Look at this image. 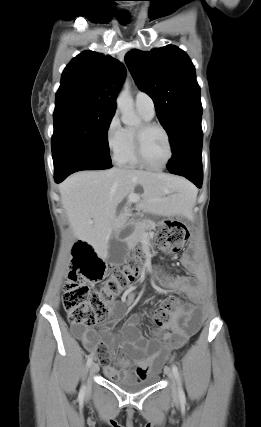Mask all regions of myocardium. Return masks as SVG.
Listing matches in <instances>:
<instances>
[{"instance_id": "1", "label": "myocardium", "mask_w": 261, "mask_h": 427, "mask_svg": "<svg viewBox=\"0 0 261 427\" xmlns=\"http://www.w3.org/2000/svg\"><path fill=\"white\" fill-rule=\"evenodd\" d=\"M154 129H158V130L163 132V134L166 137L168 147H169L168 158L166 159V161L163 164L157 165V166L150 164L146 160L145 155H144V150H143L144 135L147 132L154 130ZM134 149H135V155H136L138 162L143 167L151 169V170H162V169H164L170 163V161L172 160V158L174 156L173 144H172V140H171L169 132L161 124L153 123V122H144L138 129H136L134 131Z\"/></svg>"}]
</instances>
